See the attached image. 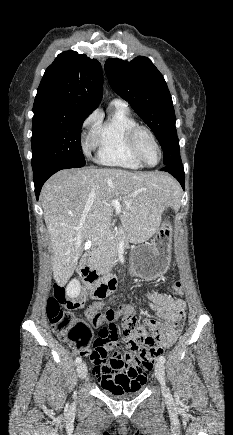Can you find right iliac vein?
Segmentation results:
<instances>
[{"instance_id":"1","label":"right iliac vein","mask_w":233,"mask_h":435,"mask_svg":"<svg viewBox=\"0 0 233 435\" xmlns=\"http://www.w3.org/2000/svg\"><path fill=\"white\" fill-rule=\"evenodd\" d=\"M78 376L83 379L87 376V366L85 363H81L77 367Z\"/></svg>"}]
</instances>
